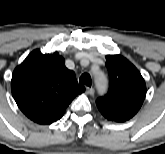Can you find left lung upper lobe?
<instances>
[{
    "label": "left lung upper lobe",
    "instance_id": "obj_1",
    "mask_svg": "<svg viewBox=\"0 0 165 154\" xmlns=\"http://www.w3.org/2000/svg\"><path fill=\"white\" fill-rule=\"evenodd\" d=\"M109 89L97 99L101 114L111 121L124 122L140 109L146 95V85L137 68L121 55H107Z\"/></svg>",
    "mask_w": 165,
    "mask_h": 154
}]
</instances>
